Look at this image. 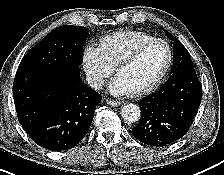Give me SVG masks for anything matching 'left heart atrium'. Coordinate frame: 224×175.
Wrapping results in <instances>:
<instances>
[{
	"label": "left heart atrium",
	"instance_id": "left-heart-atrium-1",
	"mask_svg": "<svg viewBox=\"0 0 224 175\" xmlns=\"http://www.w3.org/2000/svg\"><path fill=\"white\" fill-rule=\"evenodd\" d=\"M109 91L113 95H127L132 92L118 76L110 83Z\"/></svg>",
	"mask_w": 224,
	"mask_h": 175
}]
</instances>
